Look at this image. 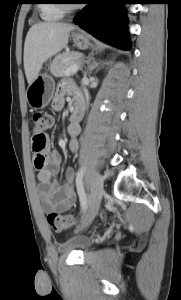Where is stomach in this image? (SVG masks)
<instances>
[{
    "instance_id": "stomach-1",
    "label": "stomach",
    "mask_w": 181,
    "mask_h": 300,
    "mask_svg": "<svg viewBox=\"0 0 181 300\" xmlns=\"http://www.w3.org/2000/svg\"><path fill=\"white\" fill-rule=\"evenodd\" d=\"M72 39L74 45L79 49H87L91 43L89 38L84 33H73ZM54 81L46 73L40 74L36 77L27 89V101L31 108L42 109L46 107L54 93Z\"/></svg>"
}]
</instances>
